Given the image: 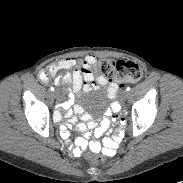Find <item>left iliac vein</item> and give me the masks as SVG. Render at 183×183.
I'll return each instance as SVG.
<instances>
[{
    "instance_id": "obj_1",
    "label": "left iliac vein",
    "mask_w": 183,
    "mask_h": 183,
    "mask_svg": "<svg viewBox=\"0 0 183 183\" xmlns=\"http://www.w3.org/2000/svg\"><path fill=\"white\" fill-rule=\"evenodd\" d=\"M128 96H129V93L126 90L123 91L122 94H121V97H122L123 100H126L128 98Z\"/></svg>"
}]
</instances>
